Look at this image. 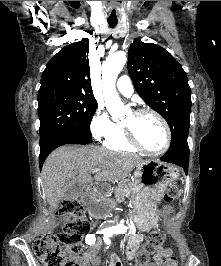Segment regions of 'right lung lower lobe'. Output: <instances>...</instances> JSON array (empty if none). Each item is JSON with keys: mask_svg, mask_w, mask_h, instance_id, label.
Listing matches in <instances>:
<instances>
[{"mask_svg": "<svg viewBox=\"0 0 221 266\" xmlns=\"http://www.w3.org/2000/svg\"><path fill=\"white\" fill-rule=\"evenodd\" d=\"M92 142V139H85L81 136L77 135H62L52 142H49L43 146H40V156H39V164L40 169L43 166V163L47 156L53 151L55 148L65 145V144H89Z\"/></svg>", "mask_w": 221, "mask_h": 266, "instance_id": "right-lung-lower-lobe-1", "label": "right lung lower lobe"}]
</instances>
